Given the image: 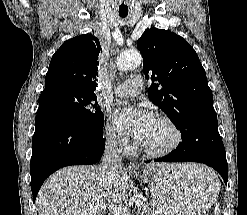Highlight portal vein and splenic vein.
<instances>
[{"label":"portal vein and splenic vein","instance_id":"1","mask_svg":"<svg viewBox=\"0 0 247 215\" xmlns=\"http://www.w3.org/2000/svg\"><path fill=\"white\" fill-rule=\"evenodd\" d=\"M137 206H143V203L136 202ZM109 211L112 212L114 215H128V209L122 206H115V205H110L108 207ZM97 211L95 210L94 213Z\"/></svg>","mask_w":247,"mask_h":215}]
</instances>
